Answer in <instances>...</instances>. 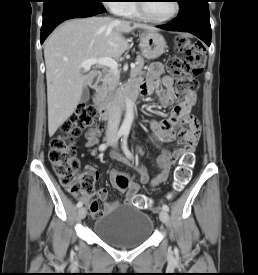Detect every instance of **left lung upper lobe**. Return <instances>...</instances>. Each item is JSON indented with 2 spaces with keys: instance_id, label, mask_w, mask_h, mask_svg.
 <instances>
[{
  "instance_id": "left-lung-upper-lobe-1",
  "label": "left lung upper lobe",
  "mask_w": 258,
  "mask_h": 275,
  "mask_svg": "<svg viewBox=\"0 0 258 275\" xmlns=\"http://www.w3.org/2000/svg\"><path fill=\"white\" fill-rule=\"evenodd\" d=\"M182 0H178V3H180Z\"/></svg>"
}]
</instances>
